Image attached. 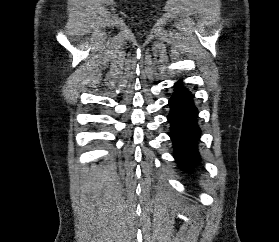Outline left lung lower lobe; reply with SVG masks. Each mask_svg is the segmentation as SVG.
<instances>
[{
    "label": "left lung lower lobe",
    "mask_w": 279,
    "mask_h": 242,
    "mask_svg": "<svg viewBox=\"0 0 279 242\" xmlns=\"http://www.w3.org/2000/svg\"><path fill=\"white\" fill-rule=\"evenodd\" d=\"M169 100V136L173 143V156L178 167L184 172L195 173L199 170L201 157L198 152L200 129L197 124V111L192 102V94L179 81Z\"/></svg>",
    "instance_id": "0a47b994"
}]
</instances>
